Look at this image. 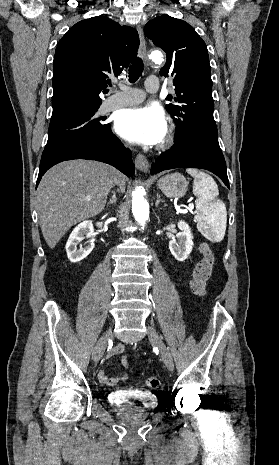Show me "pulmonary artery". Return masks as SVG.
<instances>
[{"label": "pulmonary artery", "instance_id": "obj_1", "mask_svg": "<svg viewBox=\"0 0 279 465\" xmlns=\"http://www.w3.org/2000/svg\"><path fill=\"white\" fill-rule=\"evenodd\" d=\"M145 89L149 93H154L159 90V80L155 76L147 78ZM145 98V92L137 88L123 87L122 91L116 92L110 96L102 105V110L105 112L118 109L125 106L137 104Z\"/></svg>", "mask_w": 279, "mask_h": 465}]
</instances>
